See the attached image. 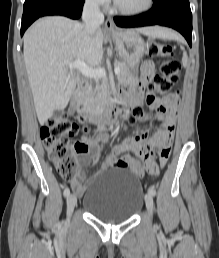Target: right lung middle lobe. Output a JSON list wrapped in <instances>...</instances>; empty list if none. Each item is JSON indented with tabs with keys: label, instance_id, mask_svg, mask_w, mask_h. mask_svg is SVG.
<instances>
[{
	"label": "right lung middle lobe",
	"instance_id": "1",
	"mask_svg": "<svg viewBox=\"0 0 219 258\" xmlns=\"http://www.w3.org/2000/svg\"><path fill=\"white\" fill-rule=\"evenodd\" d=\"M31 1H33V0H25L24 4H27V3L31 2Z\"/></svg>",
	"mask_w": 219,
	"mask_h": 258
}]
</instances>
